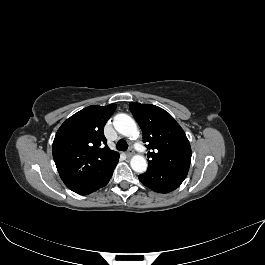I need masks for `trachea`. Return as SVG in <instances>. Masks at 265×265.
Segmentation results:
<instances>
[{
	"label": "trachea",
	"instance_id": "1",
	"mask_svg": "<svg viewBox=\"0 0 265 265\" xmlns=\"http://www.w3.org/2000/svg\"><path fill=\"white\" fill-rule=\"evenodd\" d=\"M117 149L120 150V151H126L128 149V144L125 140L123 139H120L118 142H117Z\"/></svg>",
	"mask_w": 265,
	"mask_h": 265
}]
</instances>
